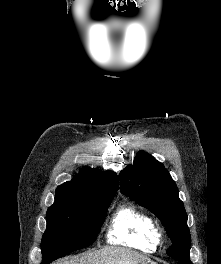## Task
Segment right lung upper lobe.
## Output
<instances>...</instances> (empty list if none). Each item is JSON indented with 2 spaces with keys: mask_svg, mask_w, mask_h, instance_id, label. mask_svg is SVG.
<instances>
[{
  "mask_svg": "<svg viewBox=\"0 0 221 264\" xmlns=\"http://www.w3.org/2000/svg\"><path fill=\"white\" fill-rule=\"evenodd\" d=\"M117 190L114 172L84 167L76 179L57 187L54 204L78 205L96 197L115 196Z\"/></svg>",
  "mask_w": 221,
  "mask_h": 264,
  "instance_id": "cb5924a9",
  "label": "right lung upper lobe"
}]
</instances>
